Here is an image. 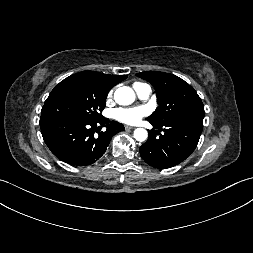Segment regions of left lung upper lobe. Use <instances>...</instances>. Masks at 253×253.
<instances>
[{"label":"left lung upper lobe","mask_w":253,"mask_h":253,"mask_svg":"<svg viewBox=\"0 0 253 253\" xmlns=\"http://www.w3.org/2000/svg\"><path fill=\"white\" fill-rule=\"evenodd\" d=\"M136 75L150 82L156 90L159 106L147 118L148 121L164 124L195 114H205L204 105L197 92L178 76L159 71L141 72Z\"/></svg>","instance_id":"left-lung-upper-lobe-1"}]
</instances>
